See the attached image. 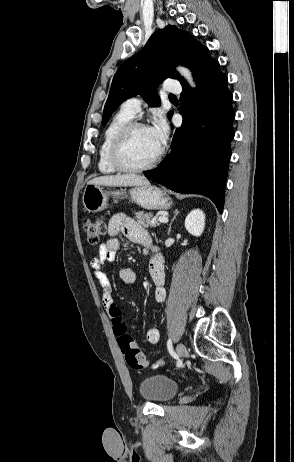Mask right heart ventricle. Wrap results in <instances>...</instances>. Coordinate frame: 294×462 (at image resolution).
<instances>
[{
    "label": "right heart ventricle",
    "mask_w": 294,
    "mask_h": 462,
    "mask_svg": "<svg viewBox=\"0 0 294 462\" xmlns=\"http://www.w3.org/2000/svg\"><path fill=\"white\" fill-rule=\"evenodd\" d=\"M133 117L134 115L121 108L107 125L98 150V169L101 173L114 174L119 171L109 160V149L114 137L126 124L132 121Z\"/></svg>",
    "instance_id": "right-heart-ventricle-1"
}]
</instances>
